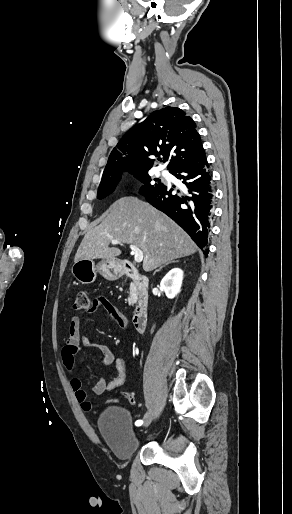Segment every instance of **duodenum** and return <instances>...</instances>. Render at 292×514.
<instances>
[{"label":"duodenum","instance_id":"duodenum-1","mask_svg":"<svg viewBox=\"0 0 292 514\" xmlns=\"http://www.w3.org/2000/svg\"><path fill=\"white\" fill-rule=\"evenodd\" d=\"M124 275L129 277L134 284L136 302L133 314V326L137 332L144 329L148 320L149 306V279L131 263H128Z\"/></svg>","mask_w":292,"mask_h":514}]
</instances>
